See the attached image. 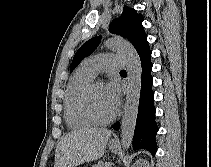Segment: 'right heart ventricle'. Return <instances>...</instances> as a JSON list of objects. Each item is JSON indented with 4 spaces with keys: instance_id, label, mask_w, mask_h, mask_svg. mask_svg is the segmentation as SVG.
Segmentation results:
<instances>
[{
    "instance_id": "right-heart-ventricle-1",
    "label": "right heart ventricle",
    "mask_w": 211,
    "mask_h": 167,
    "mask_svg": "<svg viewBox=\"0 0 211 167\" xmlns=\"http://www.w3.org/2000/svg\"><path fill=\"white\" fill-rule=\"evenodd\" d=\"M94 77L81 66L70 79L64 98V115L71 128L84 129L94 125L82 109L83 93Z\"/></svg>"
}]
</instances>
